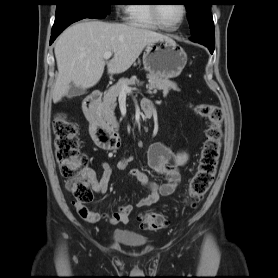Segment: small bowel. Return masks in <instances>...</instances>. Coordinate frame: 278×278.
I'll use <instances>...</instances> for the list:
<instances>
[{"label":"small bowel","mask_w":278,"mask_h":278,"mask_svg":"<svg viewBox=\"0 0 278 278\" xmlns=\"http://www.w3.org/2000/svg\"><path fill=\"white\" fill-rule=\"evenodd\" d=\"M149 107L144 109L147 116H150L153 111L152 104L149 100L143 102V106ZM144 108V107H143ZM148 163L150 167L161 174L165 178V182L158 184L148 180L146 174L138 169H130V175L138 180L147 190L148 195L139 199L136 207L150 206L156 203L160 197L172 195L178 188L181 181L180 168L188 162L189 155L185 151L178 153L172 152L166 145L160 142L152 144L147 152ZM102 174L100 179H97L91 171V185L95 194L105 195L109 190V181L112 176V167L107 161L101 163ZM78 214L86 221L95 223L98 222L102 215L96 211L88 209L85 205L74 203ZM134 206L131 204L121 206L116 212L109 216L111 224H126L129 221V216L132 213Z\"/></svg>","instance_id":"c3829d8e"}]
</instances>
